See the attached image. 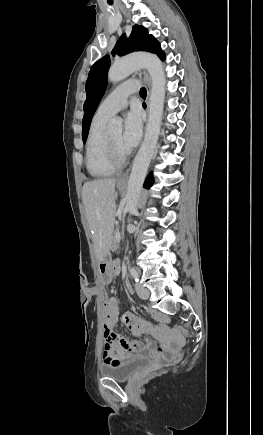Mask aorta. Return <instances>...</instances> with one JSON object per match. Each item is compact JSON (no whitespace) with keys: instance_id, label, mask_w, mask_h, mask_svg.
Wrapping results in <instances>:
<instances>
[{"instance_id":"obj_1","label":"aorta","mask_w":263,"mask_h":435,"mask_svg":"<svg viewBox=\"0 0 263 435\" xmlns=\"http://www.w3.org/2000/svg\"><path fill=\"white\" fill-rule=\"evenodd\" d=\"M140 68H145L149 73L152 87L144 140L134 159L128 180L126 209L131 214L137 212L143 182L158 142L164 109L166 76L161 60L156 55L149 53L126 56L116 61L108 72V80L115 83L125 79ZM108 130L112 133H120L122 121L113 119Z\"/></svg>"}]
</instances>
